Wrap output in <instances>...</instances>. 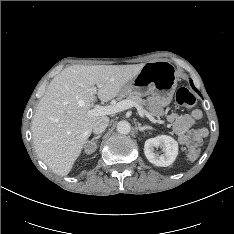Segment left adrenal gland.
I'll use <instances>...</instances> for the list:
<instances>
[{"label":"left adrenal gland","instance_id":"obj_1","mask_svg":"<svg viewBox=\"0 0 234 234\" xmlns=\"http://www.w3.org/2000/svg\"><path fill=\"white\" fill-rule=\"evenodd\" d=\"M153 128L151 126H141L140 124H138V130L140 132H143L144 130H152Z\"/></svg>","mask_w":234,"mask_h":234}]
</instances>
